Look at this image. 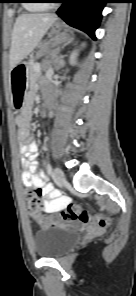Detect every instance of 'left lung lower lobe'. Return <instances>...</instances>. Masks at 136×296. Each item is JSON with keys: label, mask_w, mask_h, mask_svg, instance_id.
<instances>
[{"label": "left lung lower lobe", "mask_w": 136, "mask_h": 296, "mask_svg": "<svg viewBox=\"0 0 136 296\" xmlns=\"http://www.w3.org/2000/svg\"><path fill=\"white\" fill-rule=\"evenodd\" d=\"M107 0H64L56 12L67 24L89 34L94 40Z\"/></svg>", "instance_id": "0a47b994"}]
</instances>
